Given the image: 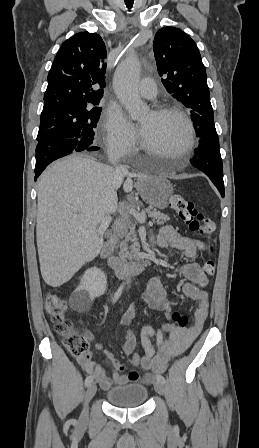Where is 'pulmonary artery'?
<instances>
[{
	"label": "pulmonary artery",
	"mask_w": 259,
	"mask_h": 448,
	"mask_svg": "<svg viewBox=\"0 0 259 448\" xmlns=\"http://www.w3.org/2000/svg\"><path fill=\"white\" fill-rule=\"evenodd\" d=\"M148 82H151L152 85H148ZM136 91L147 98H153L157 95L156 82L149 78H142L137 87Z\"/></svg>",
	"instance_id": "obj_1"
}]
</instances>
